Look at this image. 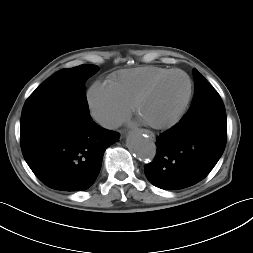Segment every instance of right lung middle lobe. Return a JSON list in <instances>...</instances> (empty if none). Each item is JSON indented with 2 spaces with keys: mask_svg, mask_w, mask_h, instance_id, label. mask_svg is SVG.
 Instances as JSON below:
<instances>
[{
  "mask_svg": "<svg viewBox=\"0 0 253 253\" xmlns=\"http://www.w3.org/2000/svg\"><path fill=\"white\" fill-rule=\"evenodd\" d=\"M98 69L96 65H80L56 72L28 97L22 109L21 122L61 107L89 112L85 82Z\"/></svg>",
  "mask_w": 253,
  "mask_h": 253,
  "instance_id": "dd1d6c3e",
  "label": "right lung middle lobe"
}]
</instances>
